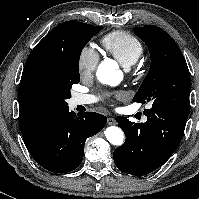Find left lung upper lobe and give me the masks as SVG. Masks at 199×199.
Here are the masks:
<instances>
[{
    "label": "left lung upper lobe",
    "instance_id": "5c2ea615",
    "mask_svg": "<svg viewBox=\"0 0 199 199\" xmlns=\"http://www.w3.org/2000/svg\"><path fill=\"white\" fill-rule=\"evenodd\" d=\"M145 42L151 56L148 75L133 101L153 102V108H165L178 113H190V74L186 60L176 42L154 25L133 28Z\"/></svg>",
    "mask_w": 199,
    "mask_h": 199
}]
</instances>
